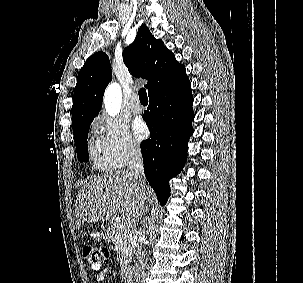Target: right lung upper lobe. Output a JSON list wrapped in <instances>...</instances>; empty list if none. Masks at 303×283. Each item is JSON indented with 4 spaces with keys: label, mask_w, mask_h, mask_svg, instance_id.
Listing matches in <instances>:
<instances>
[{
    "label": "right lung upper lobe",
    "mask_w": 303,
    "mask_h": 283,
    "mask_svg": "<svg viewBox=\"0 0 303 283\" xmlns=\"http://www.w3.org/2000/svg\"><path fill=\"white\" fill-rule=\"evenodd\" d=\"M123 61L135 77L148 80V96L185 74V67L156 39L145 24L139 28L134 42L123 52ZM112 79L109 57L104 52L90 56L81 68L74 92L72 128L93 120L99 113L105 88Z\"/></svg>",
    "instance_id": "1"
}]
</instances>
